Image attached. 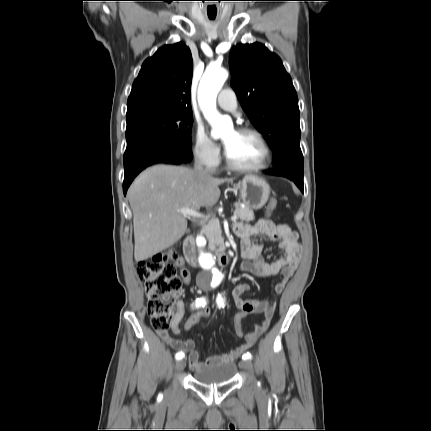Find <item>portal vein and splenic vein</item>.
Instances as JSON below:
<instances>
[{
	"label": "portal vein and splenic vein",
	"mask_w": 431,
	"mask_h": 431,
	"mask_svg": "<svg viewBox=\"0 0 431 431\" xmlns=\"http://www.w3.org/2000/svg\"><path fill=\"white\" fill-rule=\"evenodd\" d=\"M179 212L181 214L185 215V216H189V217H193V218H206L204 215H202V214H200V213H198V212H196L195 210H192V209H181V210H179ZM231 220L232 221H236L237 220V215L234 214L231 217Z\"/></svg>",
	"instance_id": "18ae733b"
}]
</instances>
